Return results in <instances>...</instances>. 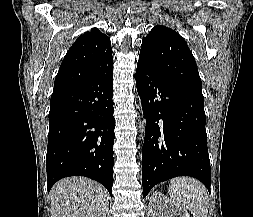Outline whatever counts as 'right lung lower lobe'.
Here are the masks:
<instances>
[{"instance_id":"obj_1","label":"right lung lower lobe","mask_w":253,"mask_h":217,"mask_svg":"<svg viewBox=\"0 0 253 217\" xmlns=\"http://www.w3.org/2000/svg\"><path fill=\"white\" fill-rule=\"evenodd\" d=\"M113 69L80 85L54 91L46 156L48 191L59 179L80 175L103 184L112 196Z\"/></svg>"}]
</instances>
